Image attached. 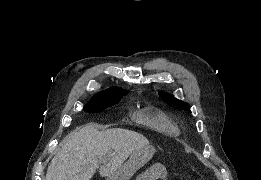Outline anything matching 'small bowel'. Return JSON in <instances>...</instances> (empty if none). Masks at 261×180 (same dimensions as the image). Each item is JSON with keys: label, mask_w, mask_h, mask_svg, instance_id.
I'll return each instance as SVG.
<instances>
[{"label": "small bowel", "mask_w": 261, "mask_h": 180, "mask_svg": "<svg viewBox=\"0 0 261 180\" xmlns=\"http://www.w3.org/2000/svg\"><path fill=\"white\" fill-rule=\"evenodd\" d=\"M167 177V170L163 164L156 163L138 176V180H160Z\"/></svg>", "instance_id": "obj_1"}]
</instances>
